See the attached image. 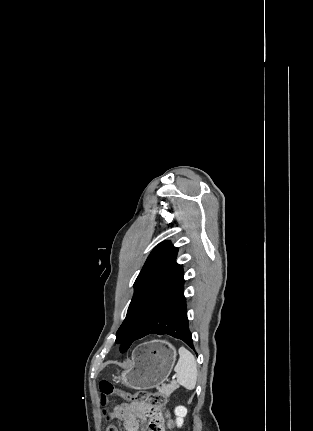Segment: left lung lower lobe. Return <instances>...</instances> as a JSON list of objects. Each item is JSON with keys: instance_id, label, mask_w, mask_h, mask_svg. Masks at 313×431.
<instances>
[{"instance_id": "1", "label": "left lung lower lobe", "mask_w": 313, "mask_h": 431, "mask_svg": "<svg viewBox=\"0 0 313 431\" xmlns=\"http://www.w3.org/2000/svg\"><path fill=\"white\" fill-rule=\"evenodd\" d=\"M150 334L170 335L194 349L188 326L186 300L183 291L164 305L139 333L136 340Z\"/></svg>"}]
</instances>
